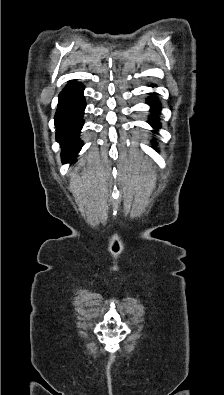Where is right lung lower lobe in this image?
Returning a JSON list of instances; mask_svg holds the SVG:
<instances>
[{
	"label": "right lung lower lobe",
	"mask_w": 224,
	"mask_h": 395,
	"mask_svg": "<svg viewBox=\"0 0 224 395\" xmlns=\"http://www.w3.org/2000/svg\"><path fill=\"white\" fill-rule=\"evenodd\" d=\"M83 90L82 84L71 82L59 94L55 125L56 139L62 146L63 163L73 161L82 147L79 133L85 109Z\"/></svg>",
	"instance_id": "1"
}]
</instances>
